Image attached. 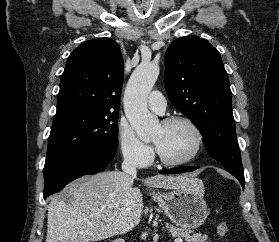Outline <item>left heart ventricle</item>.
Instances as JSON below:
<instances>
[{
    "instance_id": "1",
    "label": "left heart ventricle",
    "mask_w": 279,
    "mask_h": 242,
    "mask_svg": "<svg viewBox=\"0 0 279 242\" xmlns=\"http://www.w3.org/2000/svg\"><path fill=\"white\" fill-rule=\"evenodd\" d=\"M157 150L167 159L177 160L186 157L193 149V131L184 123L171 125L158 124L152 138Z\"/></svg>"
}]
</instances>
